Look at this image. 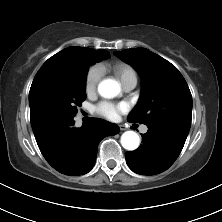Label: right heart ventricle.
I'll use <instances>...</instances> for the list:
<instances>
[{
	"instance_id": "right-heart-ventricle-1",
	"label": "right heart ventricle",
	"mask_w": 222,
	"mask_h": 222,
	"mask_svg": "<svg viewBox=\"0 0 222 222\" xmlns=\"http://www.w3.org/2000/svg\"><path fill=\"white\" fill-rule=\"evenodd\" d=\"M103 69H109L113 72L122 85L130 81L137 82L135 69L125 62H116L109 66L104 65Z\"/></svg>"
}]
</instances>
